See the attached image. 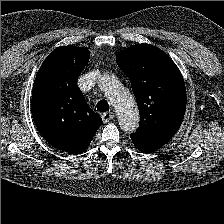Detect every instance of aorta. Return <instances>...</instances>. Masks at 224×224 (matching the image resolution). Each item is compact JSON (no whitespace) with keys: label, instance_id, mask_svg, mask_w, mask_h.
Masks as SVG:
<instances>
[{"label":"aorta","instance_id":"obj_1","mask_svg":"<svg viewBox=\"0 0 224 224\" xmlns=\"http://www.w3.org/2000/svg\"><path fill=\"white\" fill-rule=\"evenodd\" d=\"M99 86L116 110L121 129L134 132L139 126V111L129 90L112 75H104Z\"/></svg>","mask_w":224,"mask_h":224}]
</instances>
